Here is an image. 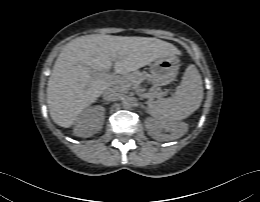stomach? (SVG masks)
I'll list each match as a JSON object with an SVG mask.
<instances>
[{"instance_id":"stomach-1","label":"stomach","mask_w":260,"mask_h":202,"mask_svg":"<svg viewBox=\"0 0 260 202\" xmlns=\"http://www.w3.org/2000/svg\"><path fill=\"white\" fill-rule=\"evenodd\" d=\"M178 73L177 58L172 55H164L157 58L151 65V81L154 89L173 81Z\"/></svg>"}]
</instances>
